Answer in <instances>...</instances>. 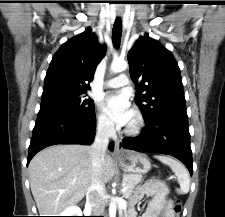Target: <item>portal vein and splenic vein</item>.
Instances as JSON below:
<instances>
[{
    "mask_svg": "<svg viewBox=\"0 0 225 217\" xmlns=\"http://www.w3.org/2000/svg\"><path fill=\"white\" fill-rule=\"evenodd\" d=\"M126 190H127V187H125V186L123 185V188H122L121 191L124 193Z\"/></svg>",
    "mask_w": 225,
    "mask_h": 217,
    "instance_id": "obj_1",
    "label": "portal vein and splenic vein"
}]
</instances>
